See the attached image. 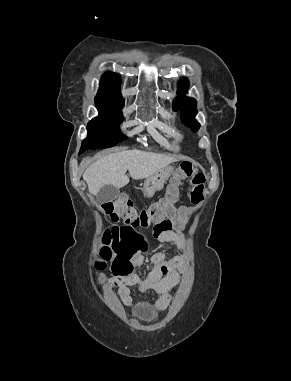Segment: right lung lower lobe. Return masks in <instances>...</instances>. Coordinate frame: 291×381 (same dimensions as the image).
<instances>
[{
	"label": "right lung lower lobe",
	"instance_id": "1",
	"mask_svg": "<svg viewBox=\"0 0 291 381\" xmlns=\"http://www.w3.org/2000/svg\"><path fill=\"white\" fill-rule=\"evenodd\" d=\"M82 153V150H80L79 154Z\"/></svg>",
	"mask_w": 291,
	"mask_h": 381
}]
</instances>
